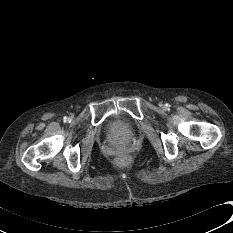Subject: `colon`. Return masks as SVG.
Masks as SVG:
<instances>
[{
  "mask_svg": "<svg viewBox=\"0 0 233 233\" xmlns=\"http://www.w3.org/2000/svg\"><path fill=\"white\" fill-rule=\"evenodd\" d=\"M126 160V157L125 156H120L119 158H118V162H124Z\"/></svg>",
  "mask_w": 233,
  "mask_h": 233,
  "instance_id": "5ec220e1",
  "label": "colon"
}]
</instances>
